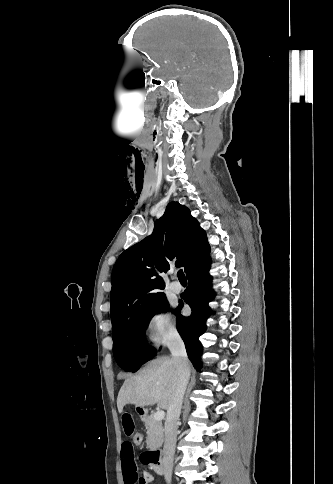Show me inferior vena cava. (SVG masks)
<instances>
[{
	"instance_id": "obj_1",
	"label": "inferior vena cava",
	"mask_w": 333,
	"mask_h": 484,
	"mask_svg": "<svg viewBox=\"0 0 333 484\" xmlns=\"http://www.w3.org/2000/svg\"><path fill=\"white\" fill-rule=\"evenodd\" d=\"M172 358L178 363L179 380L172 403L167 411L165 422V442L163 447L164 477L171 483L173 459L177 438V422L180 417L184 394L190 378V364L184 342L177 332H173L168 341Z\"/></svg>"
}]
</instances>
